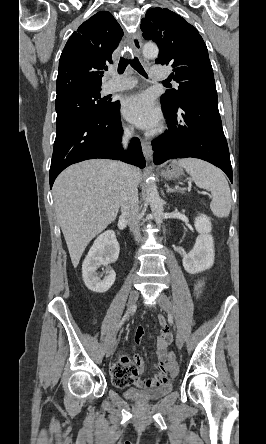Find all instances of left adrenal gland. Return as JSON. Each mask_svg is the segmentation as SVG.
Returning a JSON list of instances; mask_svg holds the SVG:
<instances>
[{"mask_svg": "<svg viewBox=\"0 0 266 444\" xmlns=\"http://www.w3.org/2000/svg\"><path fill=\"white\" fill-rule=\"evenodd\" d=\"M165 187L167 188L166 192L167 193H173L176 192L177 190L170 188L167 184H165Z\"/></svg>", "mask_w": 266, "mask_h": 444, "instance_id": "obj_1", "label": "left adrenal gland"}]
</instances>
